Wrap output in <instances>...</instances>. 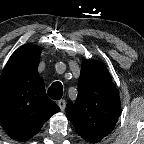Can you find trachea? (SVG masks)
<instances>
[{"mask_svg":"<svg viewBox=\"0 0 144 144\" xmlns=\"http://www.w3.org/2000/svg\"><path fill=\"white\" fill-rule=\"evenodd\" d=\"M48 95L53 100H59L62 98L63 95V87L60 82H54L47 91Z\"/></svg>","mask_w":144,"mask_h":144,"instance_id":"3493384b","label":"trachea"}]
</instances>
